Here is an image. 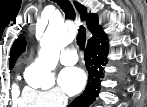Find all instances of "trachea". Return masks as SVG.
<instances>
[{
	"label": "trachea",
	"instance_id": "1",
	"mask_svg": "<svg viewBox=\"0 0 147 107\" xmlns=\"http://www.w3.org/2000/svg\"><path fill=\"white\" fill-rule=\"evenodd\" d=\"M58 6L62 9L65 13L67 18L75 19L76 13L75 10L69 0H55ZM77 45L82 49L85 47L86 43V29L83 25L79 26L78 33H77Z\"/></svg>",
	"mask_w": 147,
	"mask_h": 107
}]
</instances>
